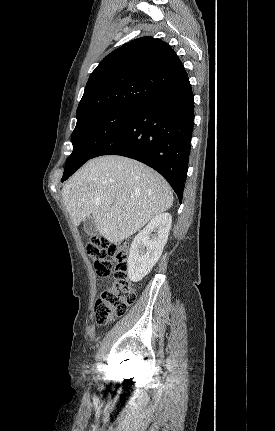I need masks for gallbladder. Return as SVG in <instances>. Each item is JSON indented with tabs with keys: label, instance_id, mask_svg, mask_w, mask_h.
<instances>
[{
	"label": "gallbladder",
	"instance_id": "1",
	"mask_svg": "<svg viewBox=\"0 0 275 431\" xmlns=\"http://www.w3.org/2000/svg\"><path fill=\"white\" fill-rule=\"evenodd\" d=\"M83 227L88 235L94 236L97 234V227L92 216H88L83 221Z\"/></svg>",
	"mask_w": 275,
	"mask_h": 431
}]
</instances>
